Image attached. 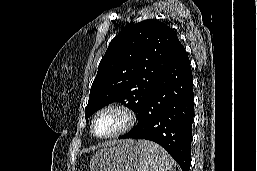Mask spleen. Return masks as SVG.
<instances>
[{"label": "spleen", "mask_w": 257, "mask_h": 171, "mask_svg": "<svg viewBox=\"0 0 257 171\" xmlns=\"http://www.w3.org/2000/svg\"><path fill=\"white\" fill-rule=\"evenodd\" d=\"M138 145L145 157L141 171H175L174 160L161 146L148 140H138Z\"/></svg>", "instance_id": "obj_1"}]
</instances>
